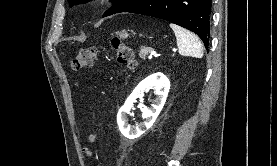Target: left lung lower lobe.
Masks as SVG:
<instances>
[{
  "mask_svg": "<svg viewBox=\"0 0 277 166\" xmlns=\"http://www.w3.org/2000/svg\"><path fill=\"white\" fill-rule=\"evenodd\" d=\"M122 12L169 21L196 33L209 48L211 0H140Z\"/></svg>",
  "mask_w": 277,
  "mask_h": 166,
  "instance_id": "left-lung-lower-lobe-1",
  "label": "left lung lower lobe"
}]
</instances>
